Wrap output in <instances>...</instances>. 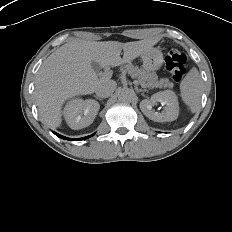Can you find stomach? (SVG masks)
Segmentation results:
<instances>
[{
    "mask_svg": "<svg viewBox=\"0 0 232 232\" xmlns=\"http://www.w3.org/2000/svg\"><path fill=\"white\" fill-rule=\"evenodd\" d=\"M141 57L143 59V67L147 71L158 69L163 62V54L156 48L149 49Z\"/></svg>",
    "mask_w": 232,
    "mask_h": 232,
    "instance_id": "1",
    "label": "stomach"
}]
</instances>
